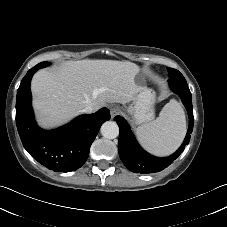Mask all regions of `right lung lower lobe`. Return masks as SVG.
Returning <instances> with one entry per match:
<instances>
[{
	"mask_svg": "<svg viewBox=\"0 0 227 227\" xmlns=\"http://www.w3.org/2000/svg\"><path fill=\"white\" fill-rule=\"evenodd\" d=\"M40 68L33 67L22 79L17 90L16 125L22 144L40 164L56 172H70L80 168L101 125L110 119V112L102 108L94 114L77 117L65 126L46 131L35 122L30 82Z\"/></svg>",
	"mask_w": 227,
	"mask_h": 227,
	"instance_id": "1",
	"label": "right lung lower lobe"
}]
</instances>
